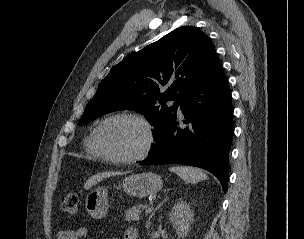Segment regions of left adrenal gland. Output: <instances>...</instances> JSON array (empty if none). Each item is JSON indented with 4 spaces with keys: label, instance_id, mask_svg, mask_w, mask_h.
Returning <instances> with one entry per match:
<instances>
[{
    "label": "left adrenal gland",
    "instance_id": "left-adrenal-gland-1",
    "mask_svg": "<svg viewBox=\"0 0 304 239\" xmlns=\"http://www.w3.org/2000/svg\"><path fill=\"white\" fill-rule=\"evenodd\" d=\"M164 202H166V199H164V200H163V201L154 209V211L152 212V214H150L149 219H148V221H147V223H146V227H147V228H149L150 225H151L150 219L155 215V212L161 207V205H162Z\"/></svg>",
    "mask_w": 304,
    "mask_h": 239
}]
</instances>
